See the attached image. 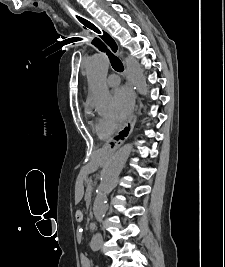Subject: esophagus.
Here are the masks:
<instances>
[{
    "mask_svg": "<svg viewBox=\"0 0 225 267\" xmlns=\"http://www.w3.org/2000/svg\"><path fill=\"white\" fill-rule=\"evenodd\" d=\"M94 23H95V25L97 27L100 28L99 30L101 31V33H100L101 36H104V33H105V34H108L111 37L109 44H107L108 47L110 48V50L113 53H115L117 56H121L120 51H119V45H118L117 41L111 36V34L104 27H102L101 25H99L95 21H94ZM124 74H125V76L127 78V84L129 85V87H130V89L132 91L133 99H134V102H135L136 99H137V92L133 88L130 80L127 77V70H126V68L124 70ZM136 111H137V105L135 104L134 105V112L130 116V118L127 121L126 125L121 130L120 134L118 136H116L115 138H112L109 141H107L105 143V145L103 146V150L108 155L113 154L124 143V141L129 137V135L133 131V128H134L135 123H136V115H135Z\"/></svg>",
    "mask_w": 225,
    "mask_h": 267,
    "instance_id": "obj_1",
    "label": "esophagus"
}]
</instances>
